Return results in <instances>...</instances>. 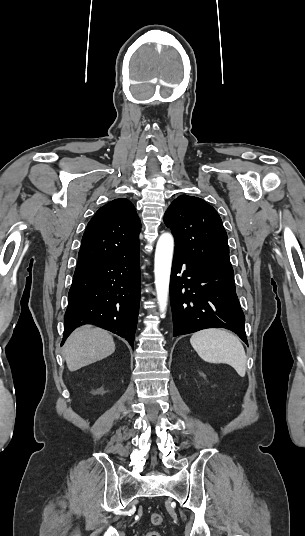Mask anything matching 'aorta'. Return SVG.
<instances>
[{
    "mask_svg": "<svg viewBox=\"0 0 305 536\" xmlns=\"http://www.w3.org/2000/svg\"><path fill=\"white\" fill-rule=\"evenodd\" d=\"M173 252V236L167 232L163 233L157 241L154 259L155 287L162 318L165 316L168 304Z\"/></svg>",
    "mask_w": 305,
    "mask_h": 536,
    "instance_id": "obj_1",
    "label": "aorta"
}]
</instances>
